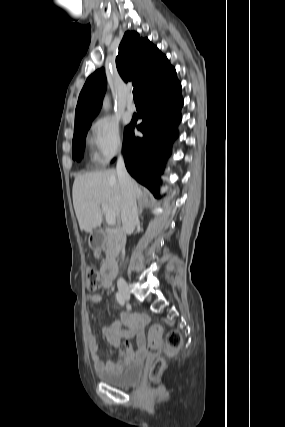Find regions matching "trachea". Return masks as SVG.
I'll use <instances>...</instances> for the list:
<instances>
[{
  "label": "trachea",
  "mask_w": 285,
  "mask_h": 427,
  "mask_svg": "<svg viewBox=\"0 0 285 427\" xmlns=\"http://www.w3.org/2000/svg\"><path fill=\"white\" fill-rule=\"evenodd\" d=\"M133 98H134V100H140L137 88L133 89Z\"/></svg>",
  "instance_id": "3493384b"
}]
</instances>
